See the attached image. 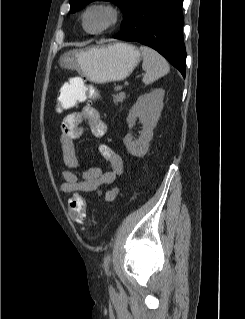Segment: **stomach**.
<instances>
[{
    "label": "stomach",
    "mask_w": 245,
    "mask_h": 319,
    "mask_svg": "<svg viewBox=\"0 0 245 319\" xmlns=\"http://www.w3.org/2000/svg\"><path fill=\"white\" fill-rule=\"evenodd\" d=\"M140 60L137 47L115 42L69 51L60 57L59 64L62 68L76 70L92 82L102 84L125 79Z\"/></svg>",
    "instance_id": "obj_1"
}]
</instances>
